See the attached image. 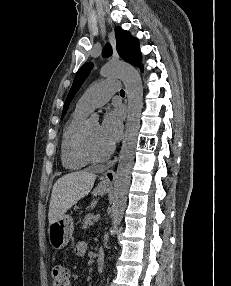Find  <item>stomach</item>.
I'll return each mask as SVG.
<instances>
[{
  "instance_id": "1",
  "label": "stomach",
  "mask_w": 231,
  "mask_h": 286,
  "mask_svg": "<svg viewBox=\"0 0 231 286\" xmlns=\"http://www.w3.org/2000/svg\"><path fill=\"white\" fill-rule=\"evenodd\" d=\"M110 190V187L97 185L93 190V195H105ZM74 231V222L70 215L64 214L57 221L50 223L48 227V238L51 246L60 250L66 247L69 243Z\"/></svg>"
}]
</instances>
